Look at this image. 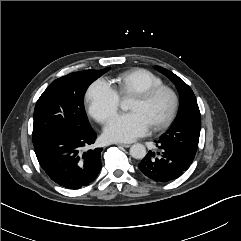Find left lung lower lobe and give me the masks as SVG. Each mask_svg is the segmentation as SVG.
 Instances as JSON below:
<instances>
[{
    "label": "left lung lower lobe",
    "mask_w": 241,
    "mask_h": 241,
    "mask_svg": "<svg viewBox=\"0 0 241 241\" xmlns=\"http://www.w3.org/2000/svg\"><path fill=\"white\" fill-rule=\"evenodd\" d=\"M157 152L149 151L138 164L141 172L156 182H168L180 177L192 161L168 143L156 141Z\"/></svg>",
    "instance_id": "1"
}]
</instances>
